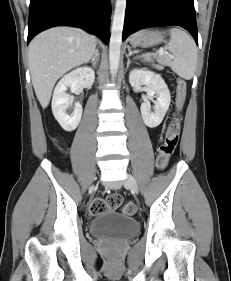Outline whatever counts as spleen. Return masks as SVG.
Returning <instances> with one entry per match:
<instances>
[{"label":"spleen","mask_w":231,"mask_h":281,"mask_svg":"<svg viewBox=\"0 0 231 281\" xmlns=\"http://www.w3.org/2000/svg\"><path fill=\"white\" fill-rule=\"evenodd\" d=\"M171 38L166 48L172 53L163 57L162 62L168 65L179 77L190 80L194 76L197 65V47L185 31L172 28Z\"/></svg>","instance_id":"spleen-1"}]
</instances>
